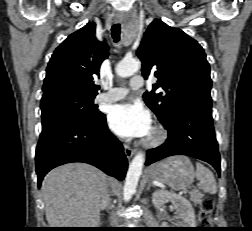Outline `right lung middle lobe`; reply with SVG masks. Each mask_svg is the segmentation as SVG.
I'll return each instance as SVG.
<instances>
[{
	"instance_id": "1",
	"label": "right lung middle lobe",
	"mask_w": 252,
	"mask_h": 231,
	"mask_svg": "<svg viewBox=\"0 0 252 231\" xmlns=\"http://www.w3.org/2000/svg\"><path fill=\"white\" fill-rule=\"evenodd\" d=\"M93 96L59 94L41 100L42 127L61 120L94 121L102 113L95 109Z\"/></svg>"
}]
</instances>
